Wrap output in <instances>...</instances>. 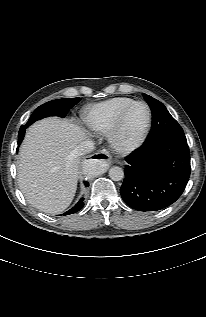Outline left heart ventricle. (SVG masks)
Here are the masks:
<instances>
[{
  "mask_svg": "<svg viewBox=\"0 0 206 317\" xmlns=\"http://www.w3.org/2000/svg\"><path fill=\"white\" fill-rule=\"evenodd\" d=\"M147 120V110L144 105L134 106L126 115L121 138L125 141L134 140L143 129Z\"/></svg>",
  "mask_w": 206,
  "mask_h": 317,
  "instance_id": "left-heart-ventricle-1",
  "label": "left heart ventricle"
}]
</instances>
